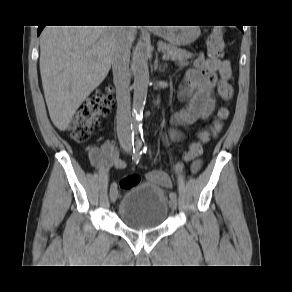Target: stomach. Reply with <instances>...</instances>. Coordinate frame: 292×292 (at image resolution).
<instances>
[{
	"label": "stomach",
	"mask_w": 292,
	"mask_h": 292,
	"mask_svg": "<svg viewBox=\"0 0 292 292\" xmlns=\"http://www.w3.org/2000/svg\"><path fill=\"white\" fill-rule=\"evenodd\" d=\"M200 29L194 27H171L163 28L157 32L159 36L175 46L188 45L199 36Z\"/></svg>",
	"instance_id": "obj_1"
}]
</instances>
